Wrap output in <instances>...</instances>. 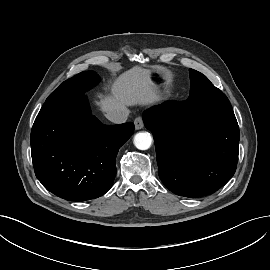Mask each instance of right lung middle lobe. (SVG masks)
Wrapping results in <instances>:
<instances>
[{
    "mask_svg": "<svg viewBox=\"0 0 270 270\" xmlns=\"http://www.w3.org/2000/svg\"><path fill=\"white\" fill-rule=\"evenodd\" d=\"M98 81L99 76L95 72H81L64 81L53 93L49 95L45 103L61 102L75 96L84 95V93L94 87Z\"/></svg>",
    "mask_w": 270,
    "mask_h": 270,
    "instance_id": "obj_1",
    "label": "right lung middle lobe"
}]
</instances>
